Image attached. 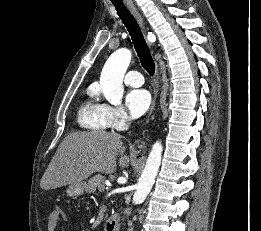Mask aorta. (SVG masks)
<instances>
[{"label": "aorta", "mask_w": 261, "mask_h": 231, "mask_svg": "<svg viewBox=\"0 0 261 231\" xmlns=\"http://www.w3.org/2000/svg\"><path fill=\"white\" fill-rule=\"evenodd\" d=\"M131 61V52L126 48L115 51L106 61L100 77L104 96L113 105H120L123 97V78ZM162 144L157 141L149 153L145 168L139 178L133 203H142L149 194L157 176L161 158Z\"/></svg>", "instance_id": "obj_1"}]
</instances>
